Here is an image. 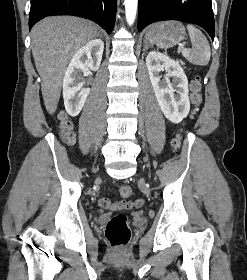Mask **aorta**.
Instances as JSON below:
<instances>
[{"label":"aorta","instance_id":"obj_1","mask_svg":"<svg viewBox=\"0 0 247 280\" xmlns=\"http://www.w3.org/2000/svg\"><path fill=\"white\" fill-rule=\"evenodd\" d=\"M126 20L132 25L136 18L138 0H124Z\"/></svg>","mask_w":247,"mask_h":280}]
</instances>
